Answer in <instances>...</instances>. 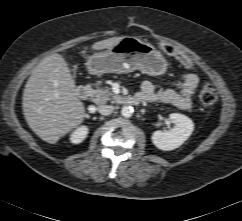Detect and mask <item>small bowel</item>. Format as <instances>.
<instances>
[{"instance_id": "obj_1", "label": "small bowel", "mask_w": 242, "mask_h": 221, "mask_svg": "<svg viewBox=\"0 0 242 221\" xmlns=\"http://www.w3.org/2000/svg\"><path fill=\"white\" fill-rule=\"evenodd\" d=\"M180 89H158L153 82L145 80L141 85L139 96L143 101L161 102L174 105L181 109H189L192 106L200 78L192 72H185L178 77Z\"/></svg>"}]
</instances>
